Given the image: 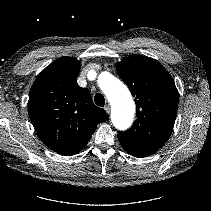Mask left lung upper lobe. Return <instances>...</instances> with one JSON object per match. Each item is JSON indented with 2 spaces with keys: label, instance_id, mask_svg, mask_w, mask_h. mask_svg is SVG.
I'll return each instance as SVG.
<instances>
[{
  "label": "left lung upper lobe",
  "instance_id": "1",
  "mask_svg": "<svg viewBox=\"0 0 211 211\" xmlns=\"http://www.w3.org/2000/svg\"><path fill=\"white\" fill-rule=\"evenodd\" d=\"M120 78L135 97L137 119L118 136L140 142L164 144L173 129L178 92L170 74L146 56H131L117 63Z\"/></svg>",
  "mask_w": 211,
  "mask_h": 211
}]
</instances>
